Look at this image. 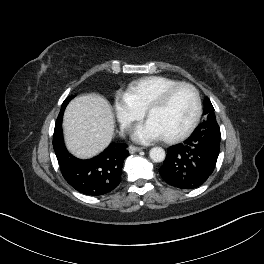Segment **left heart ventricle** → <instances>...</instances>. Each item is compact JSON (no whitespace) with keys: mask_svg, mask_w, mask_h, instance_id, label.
I'll return each instance as SVG.
<instances>
[{"mask_svg":"<svg viewBox=\"0 0 264 264\" xmlns=\"http://www.w3.org/2000/svg\"><path fill=\"white\" fill-rule=\"evenodd\" d=\"M195 99L189 88L178 89L166 105L154 110L150 120L163 137L174 136L185 130L195 114Z\"/></svg>","mask_w":264,"mask_h":264,"instance_id":"obj_1","label":"left heart ventricle"}]
</instances>
